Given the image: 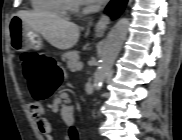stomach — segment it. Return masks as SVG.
Instances as JSON below:
<instances>
[{"mask_svg":"<svg viewBox=\"0 0 182 140\" xmlns=\"http://www.w3.org/2000/svg\"><path fill=\"white\" fill-rule=\"evenodd\" d=\"M9 31L11 45L16 50L39 49L42 45L39 33L29 29L26 22L19 16L11 19Z\"/></svg>","mask_w":182,"mask_h":140,"instance_id":"obj_1","label":"stomach"}]
</instances>
